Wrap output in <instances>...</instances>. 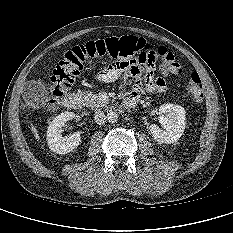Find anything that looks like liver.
<instances>
[{
    "label": "liver",
    "instance_id": "1",
    "mask_svg": "<svg viewBox=\"0 0 233 233\" xmlns=\"http://www.w3.org/2000/svg\"><path fill=\"white\" fill-rule=\"evenodd\" d=\"M30 129H31V131H32V133H33V135H34V137L38 140L39 139V135H38V133H37V129H36V127L34 126V125H30Z\"/></svg>",
    "mask_w": 233,
    "mask_h": 233
}]
</instances>
